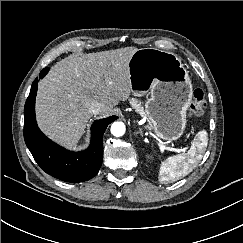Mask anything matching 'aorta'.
<instances>
[{
    "label": "aorta",
    "instance_id": "aorta-1",
    "mask_svg": "<svg viewBox=\"0 0 243 243\" xmlns=\"http://www.w3.org/2000/svg\"><path fill=\"white\" fill-rule=\"evenodd\" d=\"M125 125L123 122H114L111 125V133L115 137H121L125 134Z\"/></svg>",
    "mask_w": 243,
    "mask_h": 243
}]
</instances>
